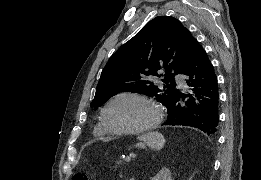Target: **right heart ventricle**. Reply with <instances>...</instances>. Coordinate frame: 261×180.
Masks as SVG:
<instances>
[{
  "mask_svg": "<svg viewBox=\"0 0 261 180\" xmlns=\"http://www.w3.org/2000/svg\"><path fill=\"white\" fill-rule=\"evenodd\" d=\"M92 135L96 140L108 141L117 139V137L111 135L104 127L102 121L100 120L92 129Z\"/></svg>",
  "mask_w": 261,
  "mask_h": 180,
  "instance_id": "right-heart-ventricle-1",
  "label": "right heart ventricle"
}]
</instances>
